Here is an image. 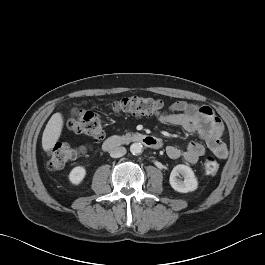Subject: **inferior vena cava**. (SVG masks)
Returning a JSON list of instances; mask_svg holds the SVG:
<instances>
[{
    "label": "inferior vena cava",
    "mask_w": 265,
    "mask_h": 265,
    "mask_svg": "<svg viewBox=\"0 0 265 265\" xmlns=\"http://www.w3.org/2000/svg\"><path fill=\"white\" fill-rule=\"evenodd\" d=\"M126 148L125 147H116L110 152V156L112 158H119L126 154Z\"/></svg>",
    "instance_id": "602c4592"
}]
</instances>
